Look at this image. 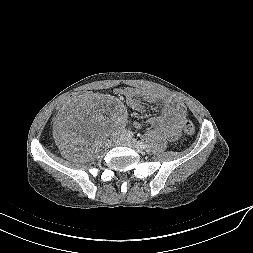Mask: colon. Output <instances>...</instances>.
I'll use <instances>...</instances> for the list:
<instances>
[{
    "label": "colon",
    "instance_id": "colon-1",
    "mask_svg": "<svg viewBox=\"0 0 253 253\" xmlns=\"http://www.w3.org/2000/svg\"><path fill=\"white\" fill-rule=\"evenodd\" d=\"M93 95V90L92 89H85V90H78L75 92H70L65 100L62 103H59L57 105V110L58 111H64L67 110L70 107V104L78 98H83V97H89ZM184 132L188 135H192L195 132V127L190 121H185L183 125Z\"/></svg>",
    "mask_w": 253,
    "mask_h": 253
}]
</instances>
